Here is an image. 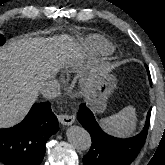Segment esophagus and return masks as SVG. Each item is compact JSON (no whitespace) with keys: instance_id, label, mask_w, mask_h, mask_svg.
<instances>
[{"instance_id":"obj_1","label":"esophagus","mask_w":165,"mask_h":165,"mask_svg":"<svg viewBox=\"0 0 165 165\" xmlns=\"http://www.w3.org/2000/svg\"><path fill=\"white\" fill-rule=\"evenodd\" d=\"M59 121L63 125H71L75 122V116L69 114H61L59 116Z\"/></svg>"}]
</instances>
